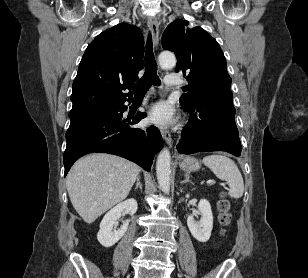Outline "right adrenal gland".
Masks as SVG:
<instances>
[{
    "mask_svg": "<svg viewBox=\"0 0 308 278\" xmlns=\"http://www.w3.org/2000/svg\"><path fill=\"white\" fill-rule=\"evenodd\" d=\"M138 187L142 190V184L140 182V175L137 176V183L134 190L138 189Z\"/></svg>",
    "mask_w": 308,
    "mask_h": 278,
    "instance_id": "1",
    "label": "right adrenal gland"
}]
</instances>
